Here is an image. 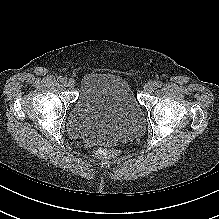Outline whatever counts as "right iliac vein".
Segmentation results:
<instances>
[{"label": "right iliac vein", "mask_w": 219, "mask_h": 219, "mask_svg": "<svg viewBox=\"0 0 219 219\" xmlns=\"http://www.w3.org/2000/svg\"><path fill=\"white\" fill-rule=\"evenodd\" d=\"M64 85L69 88H74L76 86V82L74 79L65 80Z\"/></svg>", "instance_id": "63e3f726"}]
</instances>
